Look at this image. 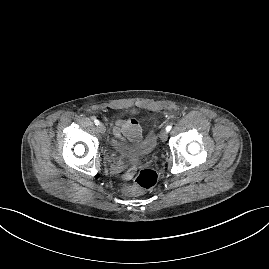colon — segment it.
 <instances>
[{
	"label": "colon",
	"instance_id": "1",
	"mask_svg": "<svg viewBox=\"0 0 269 269\" xmlns=\"http://www.w3.org/2000/svg\"><path fill=\"white\" fill-rule=\"evenodd\" d=\"M158 175L153 169H142L137 174L133 186L127 188L131 194L139 193L143 190L151 189L157 183Z\"/></svg>",
	"mask_w": 269,
	"mask_h": 269
}]
</instances>
